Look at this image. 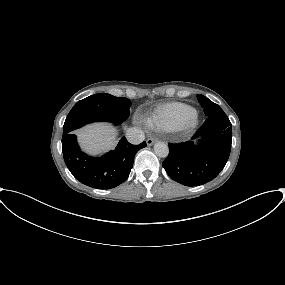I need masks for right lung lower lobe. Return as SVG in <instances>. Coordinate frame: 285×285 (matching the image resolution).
I'll use <instances>...</instances> for the list:
<instances>
[{
  "label": "right lung lower lobe",
  "mask_w": 285,
  "mask_h": 285,
  "mask_svg": "<svg viewBox=\"0 0 285 285\" xmlns=\"http://www.w3.org/2000/svg\"><path fill=\"white\" fill-rule=\"evenodd\" d=\"M145 146L146 142L132 145L122 137L114 150L101 157H92L81 151L74 133L62 137L64 161L72 175L97 189H111L123 183L133 167L135 154Z\"/></svg>",
  "instance_id": "right-lung-lower-lobe-1"
}]
</instances>
